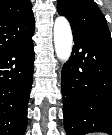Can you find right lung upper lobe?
Here are the masks:
<instances>
[{
  "instance_id": "right-lung-upper-lobe-1",
  "label": "right lung upper lobe",
  "mask_w": 112,
  "mask_h": 135,
  "mask_svg": "<svg viewBox=\"0 0 112 135\" xmlns=\"http://www.w3.org/2000/svg\"><path fill=\"white\" fill-rule=\"evenodd\" d=\"M34 29L30 0H0V53L20 43Z\"/></svg>"
}]
</instances>
